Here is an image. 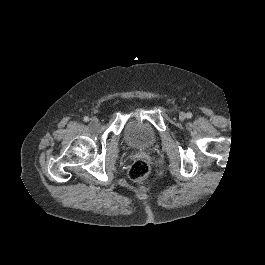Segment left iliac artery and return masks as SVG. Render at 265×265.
I'll list each match as a JSON object with an SVG mask.
<instances>
[{
  "label": "left iliac artery",
  "instance_id": "left-iliac-artery-1",
  "mask_svg": "<svg viewBox=\"0 0 265 265\" xmlns=\"http://www.w3.org/2000/svg\"><path fill=\"white\" fill-rule=\"evenodd\" d=\"M186 116H187V118H191L193 115H192L191 112H188V113L186 114Z\"/></svg>",
  "mask_w": 265,
  "mask_h": 265
}]
</instances>
